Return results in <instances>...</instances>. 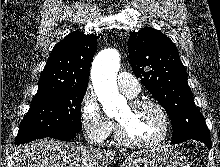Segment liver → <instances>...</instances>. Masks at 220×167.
<instances>
[{
  "label": "liver",
  "instance_id": "obj_1",
  "mask_svg": "<svg viewBox=\"0 0 220 167\" xmlns=\"http://www.w3.org/2000/svg\"><path fill=\"white\" fill-rule=\"evenodd\" d=\"M116 151L41 139L18 146L14 167H108Z\"/></svg>",
  "mask_w": 220,
  "mask_h": 167
}]
</instances>
